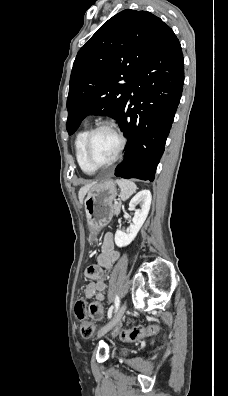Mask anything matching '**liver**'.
I'll use <instances>...</instances> for the list:
<instances>
[{
  "instance_id": "liver-1",
  "label": "liver",
  "mask_w": 228,
  "mask_h": 396,
  "mask_svg": "<svg viewBox=\"0 0 228 396\" xmlns=\"http://www.w3.org/2000/svg\"><path fill=\"white\" fill-rule=\"evenodd\" d=\"M91 184H86L83 187L80 188L79 193H78V197H79V201L82 204L83 203V199L86 195V192L88 190V188L90 187Z\"/></svg>"
}]
</instances>
